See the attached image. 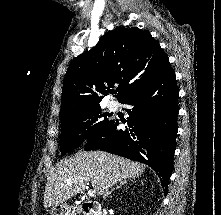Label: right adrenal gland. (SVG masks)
<instances>
[{"instance_id":"1","label":"right adrenal gland","mask_w":221,"mask_h":215,"mask_svg":"<svg viewBox=\"0 0 221 215\" xmlns=\"http://www.w3.org/2000/svg\"><path fill=\"white\" fill-rule=\"evenodd\" d=\"M125 183H127L126 180L120 181L118 184H116L115 186H113L110 191H107L106 194H104L103 197L105 198L106 196L110 195L115 188H120V187H121L122 185H124Z\"/></svg>"}]
</instances>
